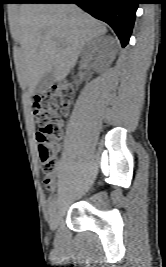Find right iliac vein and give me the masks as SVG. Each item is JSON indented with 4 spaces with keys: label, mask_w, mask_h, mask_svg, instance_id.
I'll return each instance as SVG.
<instances>
[{
    "label": "right iliac vein",
    "mask_w": 166,
    "mask_h": 267,
    "mask_svg": "<svg viewBox=\"0 0 166 267\" xmlns=\"http://www.w3.org/2000/svg\"><path fill=\"white\" fill-rule=\"evenodd\" d=\"M60 214L58 212H54V214H52L51 216V220H50V228L52 230H55L60 222Z\"/></svg>",
    "instance_id": "63e3f726"
}]
</instances>
